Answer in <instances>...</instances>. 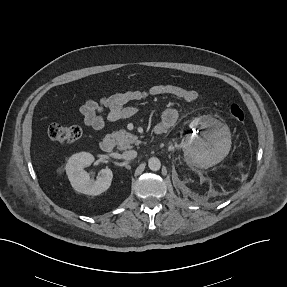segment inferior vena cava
Returning <instances> with one entry per match:
<instances>
[{"label": "inferior vena cava", "instance_id": "obj_1", "mask_svg": "<svg viewBox=\"0 0 287 287\" xmlns=\"http://www.w3.org/2000/svg\"><path fill=\"white\" fill-rule=\"evenodd\" d=\"M136 156H137V152L135 150L125 151L122 154V158L125 160H132L136 158Z\"/></svg>", "mask_w": 287, "mask_h": 287}]
</instances>
